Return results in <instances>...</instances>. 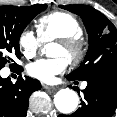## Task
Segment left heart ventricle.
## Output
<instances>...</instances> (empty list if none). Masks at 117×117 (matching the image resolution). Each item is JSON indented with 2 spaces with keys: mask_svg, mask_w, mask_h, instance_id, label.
Segmentation results:
<instances>
[{
  "mask_svg": "<svg viewBox=\"0 0 117 117\" xmlns=\"http://www.w3.org/2000/svg\"><path fill=\"white\" fill-rule=\"evenodd\" d=\"M51 55L52 56H63L65 58H68V54L66 52V50L59 44V43H56L52 50H51Z\"/></svg>",
  "mask_w": 117,
  "mask_h": 117,
  "instance_id": "left-heart-ventricle-1",
  "label": "left heart ventricle"
}]
</instances>
